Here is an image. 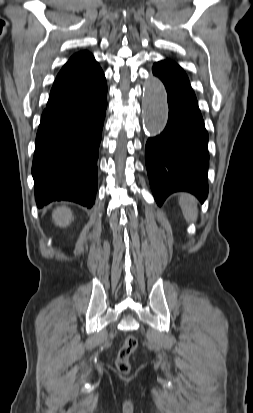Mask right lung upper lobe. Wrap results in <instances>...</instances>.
Listing matches in <instances>:
<instances>
[{
  "mask_svg": "<svg viewBox=\"0 0 253 413\" xmlns=\"http://www.w3.org/2000/svg\"><path fill=\"white\" fill-rule=\"evenodd\" d=\"M105 76L92 54L81 51L74 54L56 77L47 108H51L95 91Z\"/></svg>",
  "mask_w": 253,
  "mask_h": 413,
  "instance_id": "1",
  "label": "right lung upper lobe"
}]
</instances>
